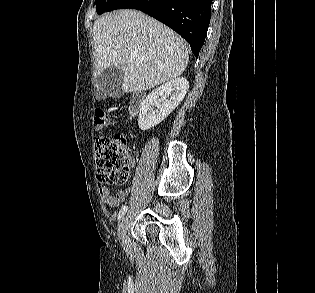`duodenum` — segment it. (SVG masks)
Wrapping results in <instances>:
<instances>
[{"label": "duodenum", "instance_id": "duodenum-1", "mask_svg": "<svg viewBox=\"0 0 315 293\" xmlns=\"http://www.w3.org/2000/svg\"><path fill=\"white\" fill-rule=\"evenodd\" d=\"M144 99L145 94L143 92H136L132 95L129 105V111L131 115H135L139 111Z\"/></svg>", "mask_w": 315, "mask_h": 293}]
</instances>
